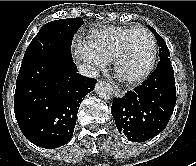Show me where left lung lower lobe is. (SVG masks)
<instances>
[{
  "label": "left lung lower lobe",
  "mask_w": 196,
  "mask_h": 166,
  "mask_svg": "<svg viewBox=\"0 0 196 166\" xmlns=\"http://www.w3.org/2000/svg\"><path fill=\"white\" fill-rule=\"evenodd\" d=\"M175 103L174 70L165 57L141 86L113 100L111 113L120 134L130 141L143 142L165 129Z\"/></svg>",
  "instance_id": "left-lung-lower-lobe-1"
}]
</instances>
